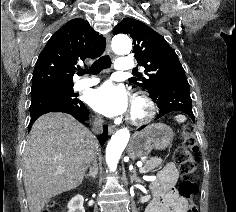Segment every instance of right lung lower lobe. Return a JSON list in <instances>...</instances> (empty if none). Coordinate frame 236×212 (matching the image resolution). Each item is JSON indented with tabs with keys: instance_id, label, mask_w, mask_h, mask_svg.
I'll return each instance as SVG.
<instances>
[{
	"instance_id": "right-lung-lower-lobe-1",
	"label": "right lung lower lobe",
	"mask_w": 236,
	"mask_h": 212,
	"mask_svg": "<svg viewBox=\"0 0 236 212\" xmlns=\"http://www.w3.org/2000/svg\"><path fill=\"white\" fill-rule=\"evenodd\" d=\"M49 112H64L74 116L78 121L83 122L89 118V111L82 103L73 104L61 99L53 98L38 92H31L30 115L31 120L28 126L30 131L33 123L41 115ZM108 137V128L104 126L103 134L98 136L101 144H104Z\"/></svg>"
}]
</instances>
